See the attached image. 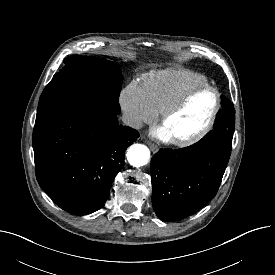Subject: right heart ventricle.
Wrapping results in <instances>:
<instances>
[{
  "label": "right heart ventricle",
  "mask_w": 275,
  "mask_h": 275,
  "mask_svg": "<svg viewBox=\"0 0 275 275\" xmlns=\"http://www.w3.org/2000/svg\"><path fill=\"white\" fill-rule=\"evenodd\" d=\"M207 84V79L188 70L167 69L151 73L143 84L148 102L155 113L162 112L188 90Z\"/></svg>",
  "instance_id": "obj_1"
}]
</instances>
